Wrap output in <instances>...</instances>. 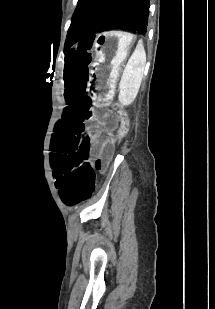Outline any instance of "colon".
<instances>
[{
    "instance_id": "obj_1",
    "label": "colon",
    "mask_w": 215,
    "mask_h": 309,
    "mask_svg": "<svg viewBox=\"0 0 215 309\" xmlns=\"http://www.w3.org/2000/svg\"><path fill=\"white\" fill-rule=\"evenodd\" d=\"M115 109L119 112L120 121H119V130L118 133L113 137L114 140H121L127 131V123L128 118L126 113L119 107L118 105L115 106Z\"/></svg>"
}]
</instances>
